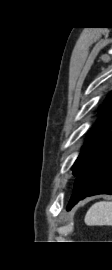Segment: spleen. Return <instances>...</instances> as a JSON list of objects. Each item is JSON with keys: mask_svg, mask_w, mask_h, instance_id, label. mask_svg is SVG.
Masks as SVG:
<instances>
[{"mask_svg": "<svg viewBox=\"0 0 112 270\" xmlns=\"http://www.w3.org/2000/svg\"><path fill=\"white\" fill-rule=\"evenodd\" d=\"M88 226H112V202L100 201L90 207L85 216Z\"/></svg>", "mask_w": 112, "mask_h": 270, "instance_id": "1", "label": "spleen"}]
</instances>
